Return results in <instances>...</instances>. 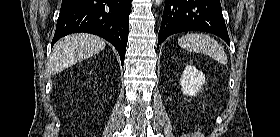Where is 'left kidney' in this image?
<instances>
[{"instance_id": "5707ae66", "label": "left kidney", "mask_w": 280, "mask_h": 137, "mask_svg": "<svg viewBox=\"0 0 280 137\" xmlns=\"http://www.w3.org/2000/svg\"><path fill=\"white\" fill-rule=\"evenodd\" d=\"M205 83V75L196 67L187 65L180 79L181 89L185 95L195 96Z\"/></svg>"}]
</instances>
